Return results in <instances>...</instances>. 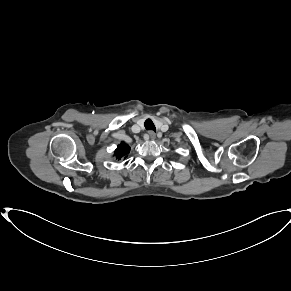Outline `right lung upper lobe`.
<instances>
[{
	"instance_id": "right-lung-upper-lobe-1",
	"label": "right lung upper lobe",
	"mask_w": 291,
	"mask_h": 291,
	"mask_svg": "<svg viewBox=\"0 0 291 291\" xmlns=\"http://www.w3.org/2000/svg\"><path fill=\"white\" fill-rule=\"evenodd\" d=\"M130 152V147L126 145L125 143H121L117 146V149L114 152V156L118 159H121L125 155H127Z\"/></svg>"
}]
</instances>
